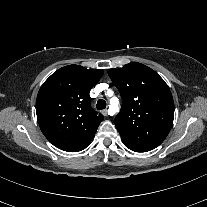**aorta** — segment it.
I'll use <instances>...</instances> for the list:
<instances>
[{
    "instance_id": "aorta-1",
    "label": "aorta",
    "mask_w": 207,
    "mask_h": 207,
    "mask_svg": "<svg viewBox=\"0 0 207 207\" xmlns=\"http://www.w3.org/2000/svg\"><path fill=\"white\" fill-rule=\"evenodd\" d=\"M110 108L115 109V111L118 110V99L116 97L110 99Z\"/></svg>"
}]
</instances>
